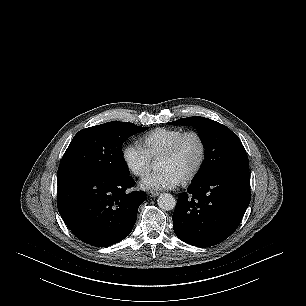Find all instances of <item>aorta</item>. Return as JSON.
<instances>
[{
    "label": "aorta",
    "instance_id": "762f6f07",
    "mask_svg": "<svg viewBox=\"0 0 306 306\" xmlns=\"http://www.w3.org/2000/svg\"><path fill=\"white\" fill-rule=\"evenodd\" d=\"M157 202H158V206L162 210H165V211L173 210L175 208V205H176L175 198L169 193H162L158 197Z\"/></svg>",
    "mask_w": 306,
    "mask_h": 306
}]
</instances>
